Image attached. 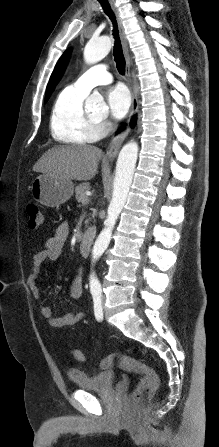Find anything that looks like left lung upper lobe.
<instances>
[{
  "label": "left lung upper lobe",
  "instance_id": "1",
  "mask_svg": "<svg viewBox=\"0 0 219 447\" xmlns=\"http://www.w3.org/2000/svg\"><path fill=\"white\" fill-rule=\"evenodd\" d=\"M70 55V50H67L57 62L54 71L52 72L51 78L46 88V100L49 98L51 92L53 91L55 85L60 80L65 67L67 65L68 59Z\"/></svg>",
  "mask_w": 219,
  "mask_h": 447
}]
</instances>
